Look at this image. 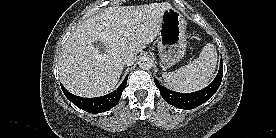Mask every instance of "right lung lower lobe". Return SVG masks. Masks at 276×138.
I'll return each instance as SVG.
<instances>
[{"instance_id":"right-lung-lower-lobe-1","label":"right lung lower lobe","mask_w":276,"mask_h":138,"mask_svg":"<svg viewBox=\"0 0 276 138\" xmlns=\"http://www.w3.org/2000/svg\"><path fill=\"white\" fill-rule=\"evenodd\" d=\"M127 80H128V76L124 79V81L117 88V90L105 96L96 97V98L78 97L68 92L63 87V85H61V88L65 96L77 107L90 113H101V112L108 111L117 105V103L121 98L122 92L126 86Z\"/></svg>"}]
</instances>
